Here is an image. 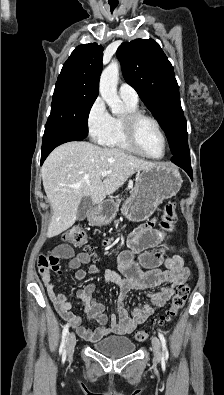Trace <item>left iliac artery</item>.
Segmentation results:
<instances>
[{"label":"left iliac artery","mask_w":224,"mask_h":395,"mask_svg":"<svg viewBox=\"0 0 224 395\" xmlns=\"http://www.w3.org/2000/svg\"><path fill=\"white\" fill-rule=\"evenodd\" d=\"M158 336H159L161 344H162L163 359L166 360L168 358L166 339H165L164 335L161 333V331L158 332Z\"/></svg>","instance_id":"obj_1"}]
</instances>
